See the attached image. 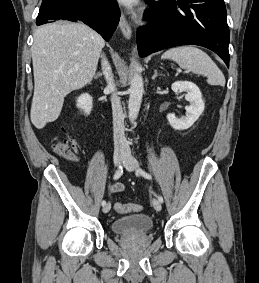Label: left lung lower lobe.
<instances>
[{
  "label": "left lung lower lobe",
  "mask_w": 259,
  "mask_h": 283,
  "mask_svg": "<svg viewBox=\"0 0 259 283\" xmlns=\"http://www.w3.org/2000/svg\"><path fill=\"white\" fill-rule=\"evenodd\" d=\"M147 26L137 31L139 55L180 45L217 53L229 67V27L224 0H145Z\"/></svg>",
  "instance_id": "0a47b994"
}]
</instances>
